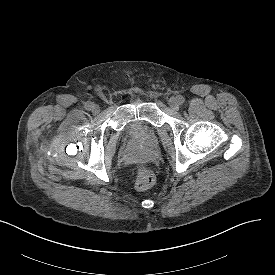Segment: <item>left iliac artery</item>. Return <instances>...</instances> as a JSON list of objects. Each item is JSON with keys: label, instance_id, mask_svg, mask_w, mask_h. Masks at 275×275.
Segmentation results:
<instances>
[{"label": "left iliac artery", "instance_id": "obj_1", "mask_svg": "<svg viewBox=\"0 0 275 275\" xmlns=\"http://www.w3.org/2000/svg\"><path fill=\"white\" fill-rule=\"evenodd\" d=\"M177 99H178V101H179L180 104H183L184 101H185V98L183 96H181V95L177 96Z\"/></svg>", "mask_w": 275, "mask_h": 275}]
</instances>
